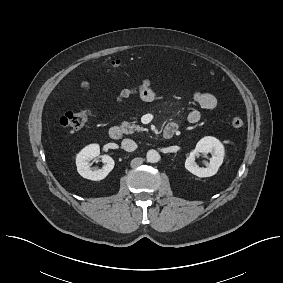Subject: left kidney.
Returning <instances> with one entry per match:
<instances>
[{
	"label": "left kidney",
	"instance_id": "1",
	"mask_svg": "<svg viewBox=\"0 0 283 283\" xmlns=\"http://www.w3.org/2000/svg\"><path fill=\"white\" fill-rule=\"evenodd\" d=\"M199 153H211L209 162H205V167H199L195 158ZM224 147L215 137L206 136L198 141L196 148L190 152L185 161V168L198 177H211L215 175L223 163Z\"/></svg>",
	"mask_w": 283,
	"mask_h": 283
}]
</instances>
